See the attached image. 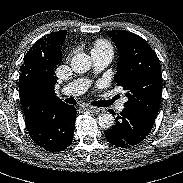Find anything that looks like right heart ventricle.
Returning a JSON list of instances; mask_svg holds the SVG:
<instances>
[{
    "label": "right heart ventricle",
    "mask_w": 183,
    "mask_h": 183,
    "mask_svg": "<svg viewBox=\"0 0 183 183\" xmlns=\"http://www.w3.org/2000/svg\"><path fill=\"white\" fill-rule=\"evenodd\" d=\"M92 53H106L113 56L112 44L106 39H98L93 43Z\"/></svg>",
    "instance_id": "right-heart-ventricle-1"
}]
</instances>
